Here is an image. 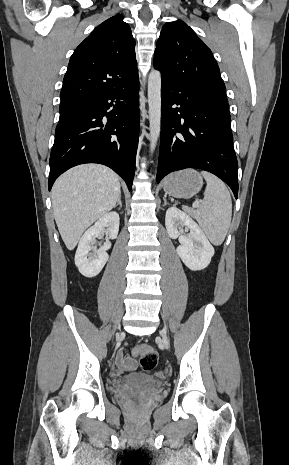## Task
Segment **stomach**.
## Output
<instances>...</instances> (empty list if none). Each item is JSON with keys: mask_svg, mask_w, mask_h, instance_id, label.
Returning a JSON list of instances; mask_svg holds the SVG:
<instances>
[{"mask_svg": "<svg viewBox=\"0 0 289 465\" xmlns=\"http://www.w3.org/2000/svg\"><path fill=\"white\" fill-rule=\"evenodd\" d=\"M203 179L194 169H185L172 173L164 180L166 194L176 198H191L202 188Z\"/></svg>", "mask_w": 289, "mask_h": 465, "instance_id": "0dacf381", "label": "stomach"}]
</instances>
